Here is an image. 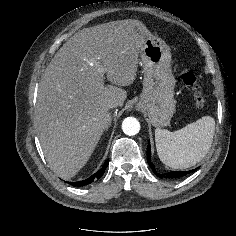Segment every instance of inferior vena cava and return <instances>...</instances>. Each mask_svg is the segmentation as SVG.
I'll use <instances>...</instances> for the list:
<instances>
[{"instance_id":"602c4592","label":"inferior vena cava","mask_w":236,"mask_h":236,"mask_svg":"<svg viewBox=\"0 0 236 236\" xmlns=\"http://www.w3.org/2000/svg\"><path fill=\"white\" fill-rule=\"evenodd\" d=\"M107 107H108V109H112V108L117 107V105H116V103L112 102V103H109Z\"/></svg>"}]
</instances>
